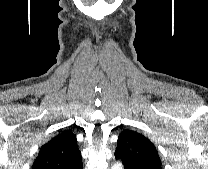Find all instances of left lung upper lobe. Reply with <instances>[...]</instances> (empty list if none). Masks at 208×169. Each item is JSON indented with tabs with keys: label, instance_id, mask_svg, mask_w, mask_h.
I'll list each match as a JSON object with an SVG mask.
<instances>
[{
	"label": "left lung upper lobe",
	"instance_id": "1",
	"mask_svg": "<svg viewBox=\"0 0 208 169\" xmlns=\"http://www.w3.org/2000/svg\"><path fill=\"white\" fill-rule=\"evenodd\" d=\"M115 152L127 158L138 169H162L154 144L135 131L125 129L119 134Z\"/></svg>",
	"mask_w": 208,
	"mask_h": 169
}]
</instances>
